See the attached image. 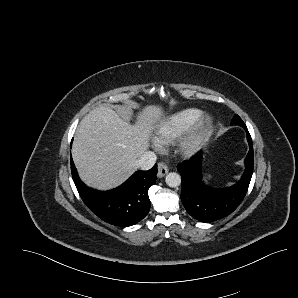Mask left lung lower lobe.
I'll return each instance as SVG.
<instances>
[{"label": "left lung lower lobe", "instance_id": "obj_1", "mask_svg": "<svg viewBox=\"0 0 298 298\" xmlns=\"http://www.w3.org/2000/svg\"><path fill=\"white\" fill-rule=\"evenodd\" d=\"M249 153L245 159V172L234 186L214 189L202 182V152L182 162L177 169L182 177L181 200L186 211L195 219L209 223L232 213L242 202L249 187L254 168V153L251 136L245 124Z\"/></svg>", "mask_w": 298, "mask_h": 298}]
</instances>
